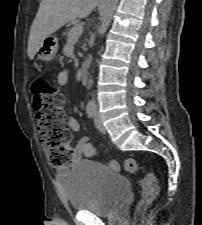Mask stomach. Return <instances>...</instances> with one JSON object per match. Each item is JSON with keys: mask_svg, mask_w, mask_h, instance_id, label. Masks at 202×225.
<instances>
[{"mask_svg": "<svg viewBox=\"0 0 202 225\" xmlns=\"http://www.w3.org/2000/svg\"><path fill=\"white\" fill-rule=\"evenodd\" d=\"M58 51V39L54 36H47L41 42L37 50L38 58L42 61H51Z\"/></svg>", "mask_w": 202, "mask_h": 225, "instance_id": "stomach-1", "label": "stomach"}]
</instances>
